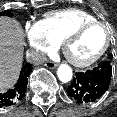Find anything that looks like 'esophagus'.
Returning a JSON list of instances; mask_svg holds the SVG:
<instances>
[{"mask_svg":"<svg viewBox=\"0 0 117 117\" xmlns=\"http://www.w3.org/2000/svg\"><path fill=\"white\" fill-rule=\"evenodd\" d=\"M45 66L49 69H55L58 66V64L52 61H48L45 63Z\"/></svg>","mask_w":117,"mask_h":117,"instance_id":"obj_1","label":"esophagus"}]
</instances>
